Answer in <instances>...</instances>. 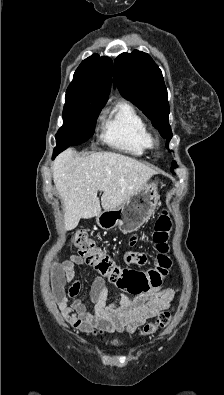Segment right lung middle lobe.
Listing matches in <instances>:
<instances>
[{
	"mask_svg": "<svg viewBox=\"0 0 224 395\" xmlns=\"http://www.w3.org/2000/svg\"><path fill=\"white\" fill-rule=\"evenodd\" d=\"M104 105L94 98L66 92L63 126L56 134L57 146L68 148L87 141L94 133Z\"/></svg>",
	"mask_w": 224,
	"mask_h": 395,
	"instance_id": "1",
	"label": "right lung middle lobe"
}]
</instances>
